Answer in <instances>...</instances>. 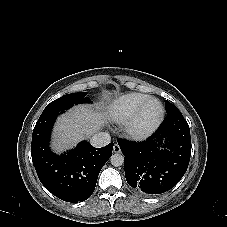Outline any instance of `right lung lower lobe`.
<instances>
[{"label":"right lung lower lobe","instance_id":"right-lung-lower-lobe-1","mask_svg":"<svg viewBox=\"0 0 227 227\" xmlns=\"http://www.w3.org/2000/svg\"><path fill=\"white\" fill-rule=\"evenodd\" d=\"M61 113L47 112L39 117L32 135V161L49 192L66 202H82L92 195L99 172L112 155L113 143L95 148L82 141L61 156L54 154L49 148L50 134Z\"/></svg>","mask_w":227,"mask_h":227}]
</instances>
